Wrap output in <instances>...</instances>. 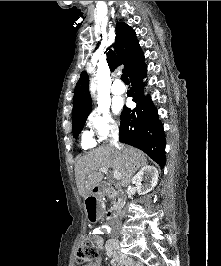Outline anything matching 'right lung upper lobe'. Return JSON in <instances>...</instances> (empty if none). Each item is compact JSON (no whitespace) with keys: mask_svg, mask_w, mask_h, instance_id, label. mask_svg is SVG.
Instances as JSON below:
<instances>
[{"mask_svg":"<svg viewBox=\"0 0 221 266\" xmlns=\"http://www.w3.org/2000/svg\"><path fill=\"white\" fill-rule=\"evenodd\" d=\"M115 51L110 50L107 55V63L111 71H114L119 65L125 67L122 72L128 75L139 64L144 62V54L140 49L136 33L126 23L116 24V40L114 43ZM89 77L84 71L78 80L74 98H73V117L89 112L91 109V99L88 91Z\"/></svg>","mask_w":221,"mask_h":266,"instance_id":"cb5924a9","label":"right lung upper lobe"}]
</instances>
